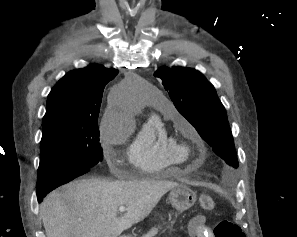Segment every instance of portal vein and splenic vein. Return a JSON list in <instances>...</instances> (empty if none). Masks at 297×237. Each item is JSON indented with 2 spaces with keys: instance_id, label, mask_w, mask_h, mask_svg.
I'll return each mask as SVG.
<instances>
[{
  "instance_id": "18ae733b",
  "label": "portal vein and splenic vein",
  "mask_w": 297,
  "mask_h": 237,
  "mask_svg": "<svg viewBox=\"0 0 297 237\" xmlns=\"http://www.w3.org/2000/svg\"><path fill=\"white\" fill-rule=\"evenodd\" d=\"M124 211H126V207L124 206L119 207V212H124Z\"/></svg>"
}]
</instances>
